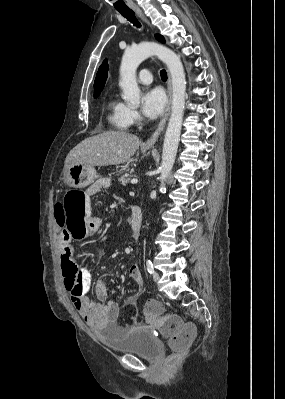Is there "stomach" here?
I'll list each match as a JSON object with an SVG mask.
<instances>
[{"mask_svg":"<svg viewBox=\"0 0 285 399\" xmlns=\"http://www.w3.org/2000/svg\"><path fill=\"white\" fill-rule=\"evenodd\" d=\"M96 170L94 166L71 162L63 169L64 182L74 188H84L94 182Z\"/></svg>","mask_w":285,"mask_h":399,"instance_id":"obj_1","label":"stomach"}]
</instances>
